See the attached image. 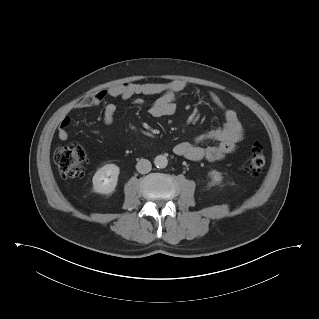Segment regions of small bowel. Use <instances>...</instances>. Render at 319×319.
<instances>
[{
  "label": "small bowel",
  "mask_w": 319,
  "mask_h": 319,
  "mask_svg": "<svg viewBox=\"0 0 319 319\" xmlns=\"http://www.w3.org/2000/svg\"><path fill=\"white\" fill-rule=\"evenodd\" d=\"M186 86V82L180 79L163 83L113 85L81 98L75 103L74 109L82 110L101 105L108 97L132 99L135 103L142 104L144 96L158 95L157 100L150 108V114L155 118H168L176 112V97L185 90ZM209 96L213 105L224 115L223 127L212 129L197 136L194 142L181 141L177 143L173 148L176 155L191 161H218L235 151L243 139L244 128L236 111L227 108L216 93L211 92ZM116 111L117 107L114 103H107L104 106L102 120L105 125L113 124ZM70 124L71 119L69 117L63 118L57 130L59 140L66 141L69 138L68 127ZM95 133H98V131H95ZM206 140H214L217 144L207 147L198 144Z\"/></svg>",
  "instance_id": "c3829d8e"
}]
</instances>
